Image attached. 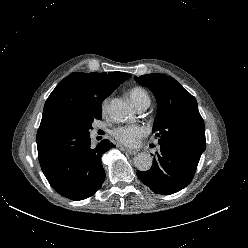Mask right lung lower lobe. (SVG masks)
I'll list each match as a JSON object with an SVG mask.
<instances>
[{
    "instance_id": "98d812e1",
    "label": "right lung lower lobe",
    "mask_w": 248,
    "mask_h": 248,
    "mask_svg": "<svg viewBox=\"0 0 248 248\" xmlns=\"http://www.w3.org/2000/svg\"><path fill=\"white\" fill-rule=\"evenodd\" d=\"M112 147L108 140L92 147L90 133L70 127L37 142L38 159L49 184L71 200L86 199L102 186L105 172L101 156Z\"/></svg>"
}]
</instances>
